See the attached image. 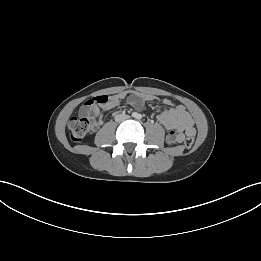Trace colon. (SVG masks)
<instances>
[{
  "mask_svg": "<svg viewBox=\"0 0 261 261\" xmlns=\"http://www.w3.org/2000/svg\"><path fill=\"white\" fill-rule=\"evenodd\" d=\"M108 96L101 95L92 98L88 101L89 104H102L105 103ZM91 127V122L86 114H81L80 116L72 117L68 122V129L70 132V137L74 142L82 141ZM194 143V135H187L184 140V147L190 149Z\"/></svg>",
  "mask_w": 261,
  "mask_h": 261,
  "instance_id": "5ec220e1",
  "label": "colon"
}]
</instances>
